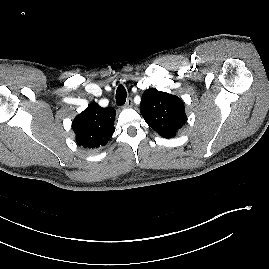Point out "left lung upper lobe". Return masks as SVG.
<instances>
[{
	"label": "left lung upper lobe",
	"instance_id": "1",
	"mask_svg": "<svg viewBox=\"0 0 269 269\" xmlns=\"http://www.w3.org/2000/svg\"><path fill=\"white\" fill-rule=\"evenodd\" d=\"M140 112L146 123L164 138L175 136L187 120L179 97L153 88L142 94Z\"/></svg>",
	"mask_w": 269,
	"mask_h": 269
}]
</instances>
